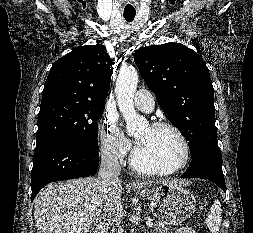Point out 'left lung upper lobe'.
<instances>
[{"instance_id":"5c2ea615","label":"left lung upper lobe","mask_w":253,"mask_h":233,"mask_svg":"<svg viewBox=\"0 0 253 233\" xmlns=\"http://www.w3.org/2000/svg\"><path fill=\"white\" fill-rule=\"evenodd\" d=\"M134 60L166 117L188 140L191 157L202 149L219 150L214 89L202 57L180 43L139 49Z\"/></svg>"}]
</instances>
